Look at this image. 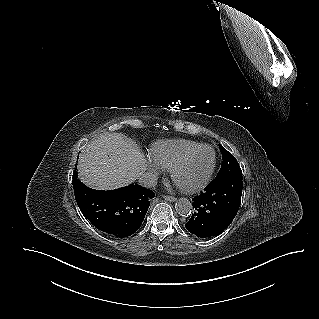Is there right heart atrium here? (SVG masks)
Returning <instances> with one entry per match:
<instances>
[{
  "label": "right heart atrium",
  "instance_id": "1",
  "mask_svg": "<svg viewBox=\"0 0 319 319\" xmlns=\"http://www.w3.org/2000/svg\"><path fill=\"white\" fill-rule=\"evenodd\" d=\"M148 171L152 177H157L162 173V169L153 160L148 161Z\"/></svg>",
  "mask_w": 319,
  "mask_h": 319
}]
</instances>
